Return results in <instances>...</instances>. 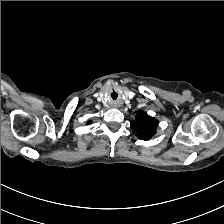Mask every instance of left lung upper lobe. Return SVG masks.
<instances>
[{
  "mask_svg": "<svg viewBox=\"0 0 224 224\" xmlns=\"http://www.w3.org/2000/svg\"><path fill=\"white\" fill-rule=\"evenodd\" d=\"M157 125L158 120L143 111L137 113L136 121H131V128L142 140H149L156 133Z\"/></svg>",
  "mask_w": 224,
  "mask_h": 224,
  "instance_id": "1",
  "label": "left lung upper lobe"
}]
</instances>
